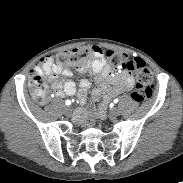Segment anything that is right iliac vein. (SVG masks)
I'll return each instance as SVG.
<instances>
[{"label": "right iliac vein", "mask_w": 183, "mask_h": 183, "mask_svg": "<svg viewBox=\"0 0 183 183\" xmlns=\"http://www.w3.org/2000/svg\"><path fill=\"white\" fill-rule=\"evenodd\" d=\"M68 110H69V108L67 107V108H66V111H68Z\"/></svg>", "instance_id": "right-iliac-vein-1"}]
</instances>
